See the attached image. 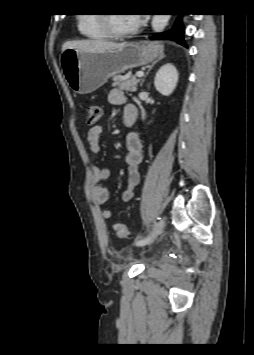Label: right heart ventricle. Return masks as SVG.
<instances>
[{
	"label": "right heart ventricle",
	"instance_id": "right-heart-ventricle-1",
	"mask_svg": "<svg viewBox=\"0 0 254 355\" xmlns=\"http://www.w3.org/2000/svg\"><path fill=\"white\" fill-rule=\"evenodd\" d=\"M101 14H83L78 17L79 32L93 40L105 39L107 35L103 32L100 24Z\"/></svg>",
	"mask_w": 254,
	"mask_h": 355
}]
</instances>
